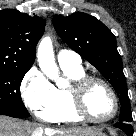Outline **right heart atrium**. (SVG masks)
Returning a JSON list of instances; mask_svg holds the SVG:
<instances>
[{"mask_svg": "<svg viewBox=\"0 0 136 136\" xmlns=\"http://www.w3.org/2000/svg\"><path fill=\"white\" fill-rule=\"evenodd\" d=\"M20 90L26 107L40 119L47 120L57 107L55 87L37 68L25 74Z\"/></svg>", "mask_w": 136, "mask_h": 136, "instance_id": "obj_1", "label": "right heart atrium"}]
</instances>
